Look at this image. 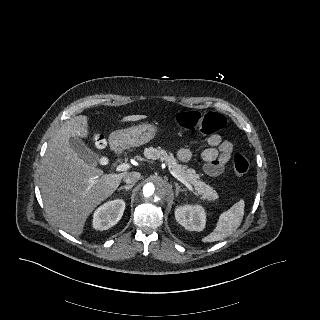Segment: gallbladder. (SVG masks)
Returning a JSON list of instances; mask_svg holds the SVG:
<instances>
[{
	"label": "gallbladder",
	"mask_w": 320,
	"mask_h": 320,
	"mask_svg": "<svg viewBox=\"0 0 320 320\" xmlns=\"http://www.w3.org/2000/svg\"><path fill=\"white\" fill-rule=\"evenodd\" d=\"M69 142L79 158L91 165L98 163L99 156L90 150L79 137L70 138Z\"/></svg>",
	"instance_id": "obj_1"
}]
</instances>
